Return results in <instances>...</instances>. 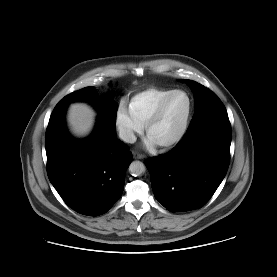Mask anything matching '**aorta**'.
<instances>
[{
  "mask_svg": "<svg viewBox=\"0 0 277 277\" xmlns=\"http://www.w3.org/2000/svg\"><path fill=\"white\" fill-rule=\"evenodd\" d=\"M129 172L133 176H139L145 172V165L140 161H133L129 166Z\"/></svg>",
  "mask_w": 277,
  "mask_h": 277,
  "instance_id": "aorta-1",
  "label": "aorta"
}]
</instances>
